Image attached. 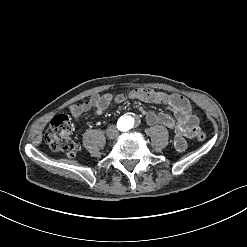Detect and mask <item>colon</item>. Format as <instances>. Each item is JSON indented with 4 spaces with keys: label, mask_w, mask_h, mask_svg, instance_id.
I'll return each mask as SVG.
<instances>
[{
    "label": "colon",
    "mask_w": 247,
    "mask_h": 247,
    "mask_svg": "<svg viewBox=\"0 0 247 247\" xmlns=\"http://www.w3.org/2000/svg\"><path fill=\"white\" fill-rule=\"evenodd\" d=\"M133 94L139 101H153L159 95V90L157 88L151 90L149 88H135ZM71 132L72 126L67 116L58 115L45 130V143L54 152L73 155L78 151L79 146ZM196 136L197 139L204 140L206 135L200 130Z\"/></svg>",
    "instance_id": "colon-1"
}]
</instances>
